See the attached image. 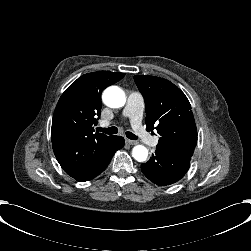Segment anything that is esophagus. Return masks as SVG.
<instances>
[{"mask_svg": "<svg viewBox=\"0 0 251 251\" xmlns=\"http://www.w3.org/2000/svg\"><path fill=\"white\" fill-rule=\"evenodd\" d=\"M127 143L129 144V145H137L138 144V142L137 141H135V140H127Z\"/></svg>", "mask_w": 251, "mask_h": 251, "instance_id": "esophagus-1", "label": "esophagus"}]
</instances>
